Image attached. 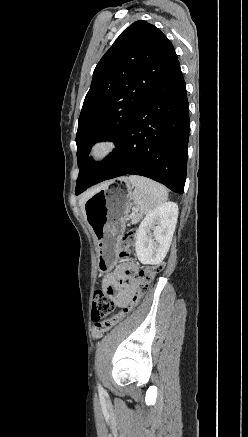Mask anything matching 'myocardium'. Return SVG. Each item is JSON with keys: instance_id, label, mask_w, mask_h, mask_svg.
<instances>
[{"instance_id": "1", "label": "myocardium", "mask_w": 248, "mask_h": 437, "mask_svg": "<svg viewBox=\"0 0 248 437\" xmlns=\"http://www.w3.org/2000/svg\"><path fill=\"white\" fill-rule=\"evenodd\" d=\"M116 149L117 143L112 138H99L88 149V161L93 166L100 165L106 162L115 153Z\"/></svg>"}]
</instances>
